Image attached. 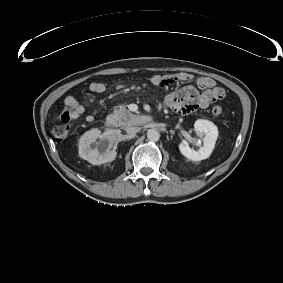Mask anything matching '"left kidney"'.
I'll return each mask as SVG.
<instances>
[{"mask_svg": "<svg viewBox=\"0 0 283 283\" xmlns=\"http://www.w3.org/2000/svg\"><path fill=\"white\" fill-rule=\"evenodd\" d=\"M194 129L198 136L203 137V146L195 151L189 147L186 140H183L179 144V150L186 158L192 161H201L211 155L218 137V129L214 123L204 119L196 120Z\"/></svg>", "mask_w": 283, "mask_h": 283, "instance_id": "obj_1", "label": "left kidney"}]
</instances>
